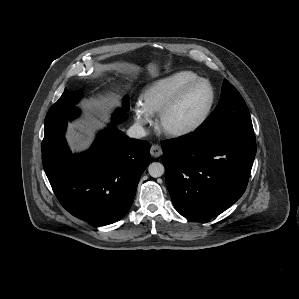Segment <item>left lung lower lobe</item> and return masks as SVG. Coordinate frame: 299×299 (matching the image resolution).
Masks as SVG:
<instances>
[{
    "mask_svg": "<svg viewBox=\"0 0 299 299\" xmlns=\"http://www.w3.org/2000/svg\"><path fill=\"white\" fill-rule=\"evenodd\" d=\"M161 145L166 185L182 216L192 220L215 217L246 190L256 155L254 134L194 132Z\"/></svg>",
    "mask_w": 299,
    "mask_h": 299,
    "instance_id": "left-lung-lower-lobe-1",
    "label": "left lung lower lobe"
}]
</instances>
